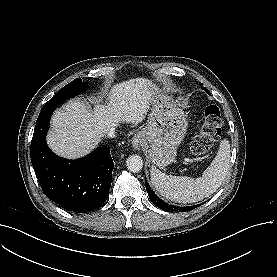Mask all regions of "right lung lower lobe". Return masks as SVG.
Here are the masks:
<instances>
[{"label":"right lung lower lobe","mask_w":277,"mask_h":277,"mask_svg":"<svg viewBox=\"0 0 277 277\" xmlns=\"http://www.w3.org/2000/svg\"><path fill=\"white\" fill-rule=\"evenodd\" d=\"M55 107L41 109L31 141V162L46 196L63 208L85 213L107 199L114 163L109 147H100L78 160L55 155L45 137Z\"/></svg>","instance_id":"1"}]
</instances>
